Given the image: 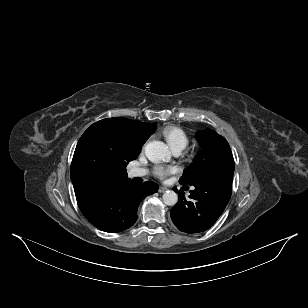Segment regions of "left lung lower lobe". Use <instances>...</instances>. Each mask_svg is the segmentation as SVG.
Wrapping results in <instances>:
<instances>
[{
  "label": "left lung lower lobe",
  "instance_id": "1",
  "mask_svg": "<svg viewBox=\"0 0 308 308\" xmlns=\"http://www.w3.org/2000/svg\"><path fill=\"white\" fill-rule=\"evenodd\" d=\"M233 170H220L194 182L189 200L182 190L178 203L170 215L175 226L182 232L199 233L209 229L223 213L231 197ZM184 185V184H181Z\"/></svg>",
  "mask_w": 308,
  "mask_h": 308
}]
</instances>
